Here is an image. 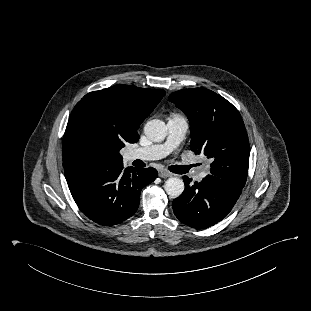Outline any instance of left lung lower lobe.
Masks as SVG:
<instances>
[{"label": "left lung lower lobe", "mask_w": 311, "mask_h": 311, "mask_svg": "<svg viewBox=\"0 0 311 311\" xmlns=\"http://www.w3.org/2000/svg\"><path fill=\"white\" fill-rule=\"evenodd\" d=\"M184 176L185 190L173 200V211L184 224L193 228H208L221 221L233 208L242 189L214 175L190 186Z\"/></svg>", "instance_id": "obj_1"}]
</instances>
